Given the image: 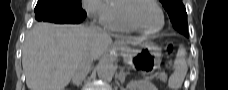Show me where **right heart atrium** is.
<instances>
[{"label":"right heart atrium","mask_w":228,"mask_h":90,"mask_svg":"<svg viewBox=\"0 0 228 90\" xmlns=\"http://www.w3.org/2000/svg\"><path fill=\"white\" fill-rule=\"evenodd\" d=\"M82 4L90 17L96 19L100 24L106 25L110 17L109 1L83 0Z\"/></svg>","instance_id":"right-heart-atrium-1"}]
</instances>
